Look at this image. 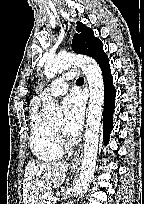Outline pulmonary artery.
Returning <instances> with one entry per match:
<instances>
[{
  "instance_id": "e3ab8cb5",
  "label": "pulmonary artery",
  "mask_w": 144,
  "mask_h": 204,
  "mask_svg": "<svg viewBox=\"0 0 144 204\" xmlns=\"http://www.w3.org/2000/svg\"><path fill=\"white\" fill-rule=\"evenodd\" d=\"M73 73H68L63 77H59L55 79L50 85H48L43 92L41 93V97H56L62 94H65L68 90L67 80L72 78Z\"/></svg>"
}]
</instances>
